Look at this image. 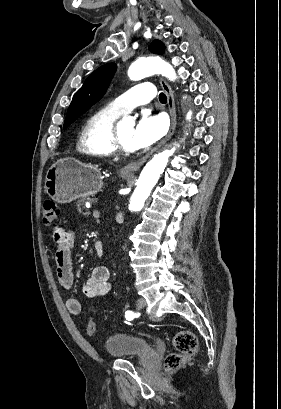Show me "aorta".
Instances as JSON below:
<instances>
[{"mask_svg":"<svg viewBox=\"0 0 281 409\" xmlns=\"http://www.w3.org/2000/svg\"><path fill=\"white\" fill-rule=\"evenodd\" d=\"M154 74H161L171 81L176 79L173 67L159 57H147L136 60L128 69V76L131 80L137 81ZM192 112L187 113L186 118L191 119ZM124 126H133L134 121L130 117L122 120ZM175 148L164 150L156 155L145 165L139 179L137 187L132 194L130 201L131 211H140L149 197L152 188L156 185L160 175L173 155Z\"/></svg>","mask_w":281,"mask_h":409,"instance_id":"obj_1","label":"aorta"}]
</instances>
